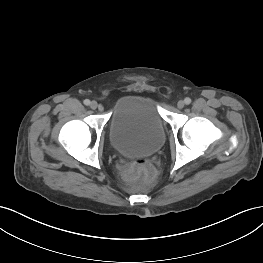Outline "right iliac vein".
Segmentation results:
<instances>
[{
	"instance_id": "right-iliac-vein-1",
	"label": "right iliac vein",
	"mask_w": 263,
	"mask_h": 263,
	"mask_svg": "<svg viewBox=\"0 0 263 263\" xmlns=\"http://www.w3.org/2000/svg\"><path fill=\"white\" fill-rule=\"evenodd\" d=\"M97 107H98V103L96 101H92L90 103V108L91 109L95 110V109H97Z\"/></svg>"
}]
</instances>
